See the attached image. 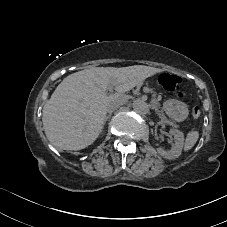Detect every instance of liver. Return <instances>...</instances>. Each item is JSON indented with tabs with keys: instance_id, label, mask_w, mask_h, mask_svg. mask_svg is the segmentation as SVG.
Instances as JSON below:
<instances>
[{
	"instance_id": "liver-1",
	"label": "liver",
	"mask_w": 227,
	"mask_h": 227,
	"mask_svg": "<svg viewBox=\"0 0 227 227\" xmlns=\"http://www.w3.org/2000/svg\"><path fill=\"white\" fill-rule=\"evenodd\" d=\"M159 72L161 69L134 65L92 68L67 76L43 107L42 124L47 140L63 150L87 148L103 129L109 103L107 86L118 84V91L127 92ZM123 85L128 88L121 90Z\"/></svg>"
}]
</instances>
